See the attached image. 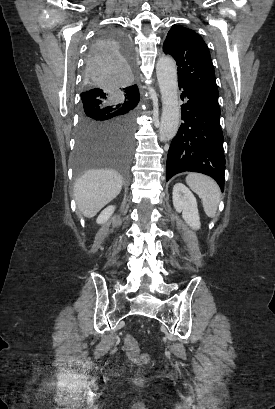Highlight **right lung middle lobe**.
I'll return each instance as SVG.
<instances>
[{
    "mask_svg": "<svg viewBox=\"0 0 275 409\" xmlns=\"http://www.w3.org/2000/svg\"><path fill=\"white\" fill-rule=\"evenodd\" d=\"M121 31V24H106L90 44L73 153L75 182L99 166L111 167L124 182L129 181L139 99L115 92L131 85L130 73L135 72L131 36Z\"/></svg>",
    "mask_w": 275,
    "mask_h": 409,
    "instance_id": "right-lung-middle-lobe-1",
    "label": "right lung middle lobe"
}]
</instances>
